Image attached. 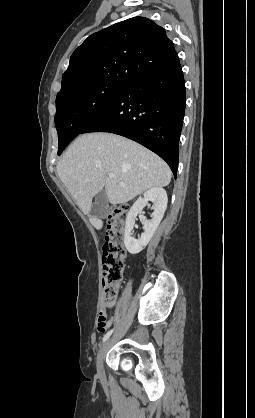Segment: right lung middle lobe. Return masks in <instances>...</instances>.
Returning a JSON list of instances; mask_svg holds the SVG:
<instances>
[{"label": "right lung middle lobe", "instance_id": "obj_1", "mask_svg": "<svg viewBox=\"0 0 255 418\" xmlns=\"http://www.w3.org/2000/svg\"><path fill=\"white\" fill-rule=\"evenodd\" d=\"M128 84L101 81L68 90L56 97L58 155L98 117Z\"/></svg>", "mask_w": 255, "mask_h": 418}]
</instances>
